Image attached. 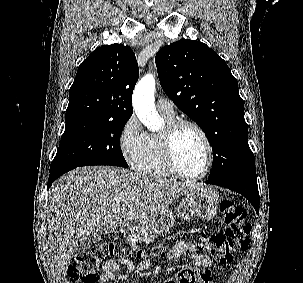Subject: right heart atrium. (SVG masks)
Listing matches in <instances>:
<instances>
[{
	"mask_svg": "<svg viewBox=\"0 0 303 283\" xmlns=\"http://www.w3.org/2000/svg\"><path fill=\"white\" fill-rule=\"evenodd\" d=\"M147 140L148 134L138 118L131 115L122 126L118 139L120 151L129 164H136L146 148Z\"/></svg>",
	"mask_w": 303,
	"mask_h": 283,
	"instance_id": "1",
	"label": "right heart atrium"
}]
</instances>
